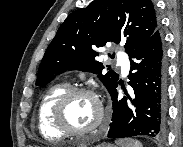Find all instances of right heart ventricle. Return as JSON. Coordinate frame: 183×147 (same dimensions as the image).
<instances>
[{
	"mask_svg": "<svg viewBox=\"0 0 183 147\" xmlns=\"http://www.w3.org/2000/svg\"><path fill=\"white\" fill-rule=\"evenodd\" d=\"M67 89L65 84L53 85L45 92L40 101L37 111L38 129L41 135L48 140L62 139L66 135L55 127L52 113L55 103Z\"/></svg>",
	"mask_w": 183,
	"mask_h": 147,
	"instance_id": "right-heart-ventricle-1",
	"label": "right heart ventricle"
}]
</instances>
